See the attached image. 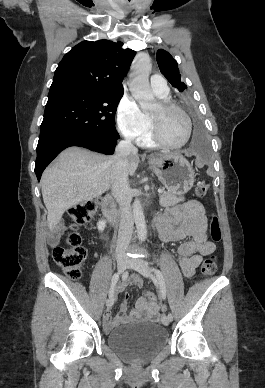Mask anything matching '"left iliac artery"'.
<instances>
[{
	"label": "left iliac artery",
	"mask_w": 265,
	"mask_h": 388,
	"mask_svg": "<svg viewBox=\"0 0 265 388\" xmlns=\"http://www.w3.org/2000/svg\"><path fill=\"white\" fill-rule=\"evenodd\" d=\"M154 271V273L156 274V277L159 281V284H160V293H161V296L163 299H166V288H165V281H164V277H163V274L162 272L157 269V268H153L152 269ZM168 318L170 321L173 320V315L171 313L168 314Z\"/></svg>",
	"instance_id": "44dca946"
}]
</instances>
